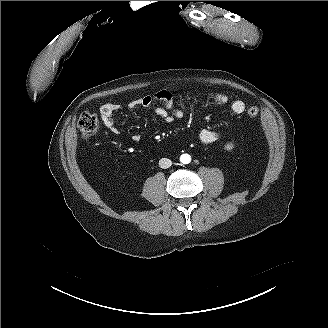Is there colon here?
Instances as JSON below:
<instances>
[{"label":"colon","instance_id":"colon-1","mask_svg":"<svg viewBox=\"0 0 328 328\" xmlns=\"http://www.w3.org/2000/svg\"><path fill=\"white\" fill-rule=\"evenodd\" d=\"M258 114L259 109L255 106H251L247 109V115L250 118H255ZM98 126V118L92 113L83 112L78 119V127L84 138L93 136L96 133Z\"/></svg>","mask_w":328,"mask_h":328}]
</instances>
